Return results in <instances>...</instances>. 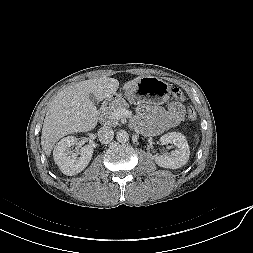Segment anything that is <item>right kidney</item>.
<instances>
[{
    "instance_id": "obj_1",
    "label": "right kidney",
    "mask_w": 253,
    "mask_h": 253,
    "mask_svg": "<svg viewBox=\"0 0 253 253\" xmlns=\"http://www.w3.org/2000/svg\"><path fill=\"white\" fill-rule=\"evenodd\" d=\"M76 142L77 139L74 136L65 137L56 144L53 151L55 163L62 173L68 176L76 175L84 170L93 155V147L86 145L81 149L80 157H77V153L69 150Z\"/></svg>"
}]
</instances>
